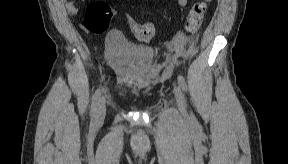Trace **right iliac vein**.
<instances>
[{
  "label": "right iliac vein",
  "instance_id": "obj_1",
  "mask_svg": "<svg viewBox=\"0 0 288 164\" xmlns=\"http://www.w3.org/2000/svg\"><path fill=\"white\" fill-rule=\"evenodd\" d=\"M105 114H106V104L104 99H101L97 111V121H102L105 117Z\"/></svg>",
  "mask_w": 288,
  "mask_h": 164
}]
</instances>
